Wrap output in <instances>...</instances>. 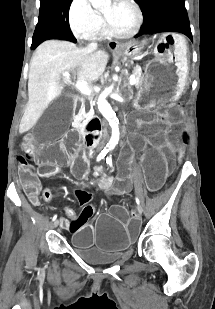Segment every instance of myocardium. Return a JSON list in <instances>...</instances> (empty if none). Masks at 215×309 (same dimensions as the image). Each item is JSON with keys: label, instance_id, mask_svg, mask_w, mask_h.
Wrapping results in <instances>:
<instances>
[{"label": "myocardium", "instance_id": "obj_1", "mask_svg": "<svg viewBox=\"0 0 215 309\" xmlns=\"http://www.w3.org/2000/svg\"><path fill=\"white\" fill-rule=\"evenodd\" d=\"M120 8H123L131 13V23H129L127 27H112V20L106 19L105 22L102 23V30H107L108 34L112 35V38H133V35L137 32L141 23L140 13L135 6L130 4H121Z\"/></svg>", "mask_w": 215, "mask_h": 309}]
</instances>
